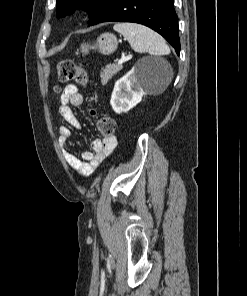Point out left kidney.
Returning <instances> with one entry per match:
<instances>
[{
    "label": "left kidney",
    "instance_id": "left-kidney-1",
    "mask_svg": "<svg viewBox=\"0 0 247 296\" xmlns=\"http://www.w3.org/2000/svg\"><path fill=\"white\" fill-rule=\"evenodd\" d=\"M156 77L150 65H144L139 61L115 83L110 100L112 109L120 114L135 107L141 102L142 97L147 95L146 87Z\"/></svg>",
    "mask_w": 247,
    "mask_h": 296
}]
</instances>
